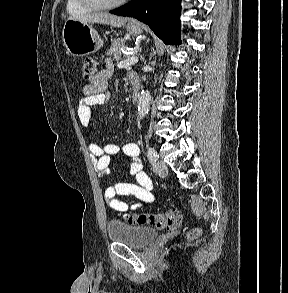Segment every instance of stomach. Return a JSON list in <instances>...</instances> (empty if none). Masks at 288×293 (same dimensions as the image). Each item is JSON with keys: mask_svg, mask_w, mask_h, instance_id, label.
Masks as SVG:
<instances>
[{"mask_svg": "<svg viewBox=\"0 0 288 293\" xmlns=\"http://www.w3.org/2000/svg\"><path fill=\"white\" fill-rule=\"evenodd\" d=\"M127 31L132 35L142 33L140 25L129 22ZM63 43L67 52L73 56H85L101 49L103 40L88 23L67 19L62 30Z\"/></svg>", "mask_w": 288, "mask_h": 293, "instance_id": "stomach-1", "label": "stomach"}]
</instances>
